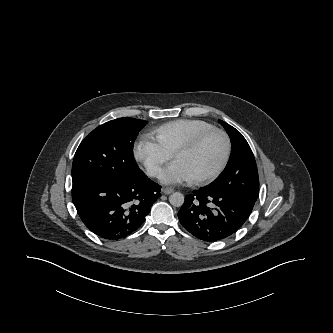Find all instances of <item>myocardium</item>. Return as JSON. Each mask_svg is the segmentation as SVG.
I'll use <instances>...</instances> for the list:
<instances>
[{
    "label": "myocardium",
    "mask_w": 333,
    "mask_h": 333,
    "mask_svg": "<svg viewBox=\"0 0 333 333\" xmlns=\"http://www.w3.org/2000/svg\"><path fill=\"white\" fill-rule=\"evenodd\" d=\"M212 134H219L225 141V154L222 162L218 166L216 170L212 173L199 178H193L191 181L196 185H206L214 180H216L226 169L232 154V142L229 135L222 129L213 127L211 129L205 130L194 137H192L189 141L178 147L174 153L172 154L173 160H175L178 156L191 152L195 148H197L206 138H208Z\"/></svg>",
    "instance_id": "1"
}]
</instances>
